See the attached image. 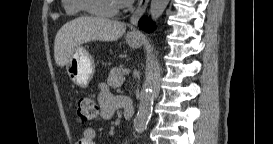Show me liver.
Returning a JSON list of instances; mask_svg holds the SVG:
<instances>
[{
    "mask_svg": "<svg viewBox=\"0 0 273 144\" xmlns=\"http://www.w3.org/2000/svg\"><path fill=\"white\" fill-rule=\"evenodd\" d=\"M125 30V23L99 17H79L67 22L55 37V62L63 67L81 44L97 40L115 41L122 37Z\"/></svg>",
    "mask_w": 273,
    "mask_h": 144,
    "instance_id": "1",
    "label": "liver"
}]
</instances>
